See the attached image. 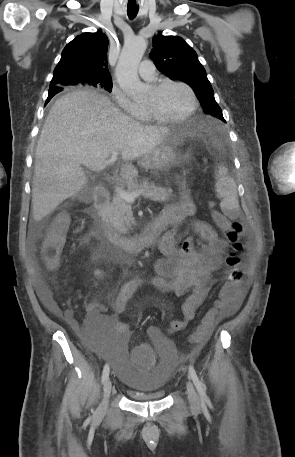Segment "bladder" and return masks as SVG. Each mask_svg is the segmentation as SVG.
<instances>
[{
    "instance_id": "31cf9c89",
    "label": "bladder",
    "mask_w": 295,
    "mask_h": 457,
    "mask_svg": "<svg viewBox=\"0 0 295 457\" xmlns=\"http://www.w3.org/2000/svg\"><path fill=\"white\" fill-rule=\"evenodd\" d=\"M127 338H93L91 345L101 356H105V365H113L117 370L120 382L127 388L128 394L137 400H160L166 396V385L170 379L169 369H178V360H172L173 347L166 342H156L155 350L159 352L158 366L152 374H137L133 371L134 360H130V349Z\"/></svg>"
}]
</instances>
